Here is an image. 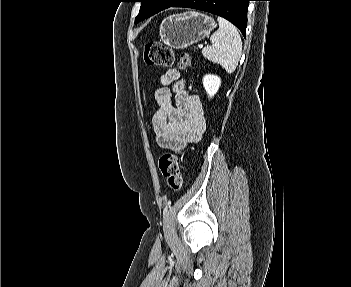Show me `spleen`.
Returning a JSON list of instances; mask_svg holds the SVG:
<instances>
[{"label":"spleen","mask_w":351,"mask_h":287,"mask_svg":"<svg viewBox=\"0 0 351 287\" xmlns=\"http://www.w3.org/2000/svg\"><path fill=\"white\" fill-rule=\"evenodd\" d=\"M219 29L210 37L212 46L202 50L208 60L220 64L227 73L235 71L242 55V40L237 28L222 17H218Z\"/></svg>","instance_id":"obj_1"}]
</instances>
